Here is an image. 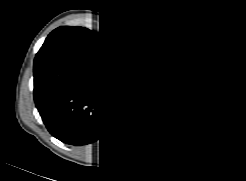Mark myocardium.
<instances>
[{
  "label": "myocardium",
  "mask_w": 246,
  "mask_h": 181,
  "mask_svg": "<svg viewBox=\"0 0 246 181\" xmlns=\"http://www.w3.org/2000/svg\"><path fill=\"white\" fill-rule=\"evenodd\" d=\"M160 48H161L160 46L156 47L151 52H149L147 59H146V62L150 61L159 52Z\"/></svg>",
  "instance_id": "obj_1"
}]
</instances>
